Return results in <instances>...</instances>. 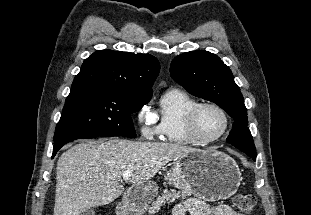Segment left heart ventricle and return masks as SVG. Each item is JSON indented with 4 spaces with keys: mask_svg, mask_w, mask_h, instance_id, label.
Here are the masks:
<instances>
[{
    "mask_svg": "<svg viewBox=\"0 0 311 215\" xmlns=\"http://www.w3.org/2000/svg\"><path fill=\"white\" fill-rule=\"evenodd\" d=\"M223 126L224 120L217 110L210 107H205L200 110L197 117V128L202 136H216L220 133Z\"/></svg>",
    "mask_w": 311,
    "mask_h": 215,
    "instance_id": "obj_1",
    "label": "left heart ventricle"
}]
</instances>
